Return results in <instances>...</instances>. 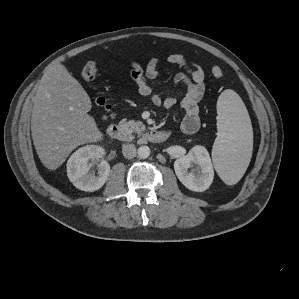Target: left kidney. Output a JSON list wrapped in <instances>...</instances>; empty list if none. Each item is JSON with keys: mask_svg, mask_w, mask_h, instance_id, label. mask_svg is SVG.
<instances>
[{"mask_svg": "<svg viewBox=\"0 0 299 299\" xmlns=\"http://www.w3.org/2000/svg\"><path fill=\"white\" fill-rule=\"evenodd\" d=\"M174 170L180 182L191 191L207 190L214 178L209 153L203 146H195L187 155L178 158Z\"/></svg>", "mask_w": 299, "mask_h": 299, "instance_id": "1", "label": "left kidney"}]
</instances>
